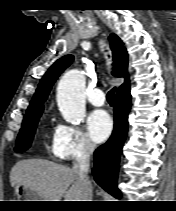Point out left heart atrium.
<instances>
[{"label": "left heart atrium", "mask_w": 176, "mask_h": 211, "mask_svg": "<svg viewBox=\"0 0 176 211\" xmlns=\"http://www.w3.org/2000/svg\"><path fill=\"white\" fill-rule=\"evenodd\" d=\"M87 129L91 138L97 142H103L112 131V120L104 110H95L87 118Z\"/></svg>", "instance_id": "left-heart-atrium-1"}]
</instances>
